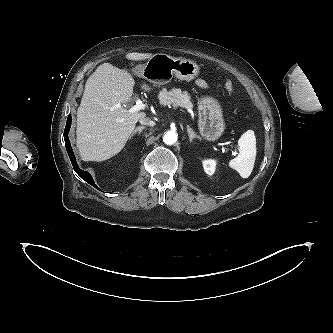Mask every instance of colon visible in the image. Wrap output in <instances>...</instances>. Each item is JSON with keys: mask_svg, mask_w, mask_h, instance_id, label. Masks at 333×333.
<instances>
[{"mask_svg": "<svg viewBox=\"0 0 333 333\" xmlns=\"http://www.w3.org/2000/svg\"><path fill=\"white\" fill-rule=\"evenodd\" d=\"M225 89L229 92V93H233L234 92V84L232 83V81L227 80L224 84Z\"/></svg>", "mask_w": 333, "mask_h": 333, "instance_id": "obj_1", "label": "colon"}]
</instances>
